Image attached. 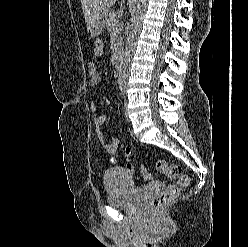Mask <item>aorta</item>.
Wrapping results in <instances>:
<instances>
[{
	"instance_id": "1",
	"label": "aorta",
	"mask_w": 248,
	"mask_h": 247,
	"mask_svg": "<svg viewBox=\"0 0 248 247\" xmlns=\"http://www.w3.org/2000/svg\"><path fill=\"white\" fill-rule=\"evenodd\" d=\"M131 22L129 32L125 40V49L121 58L118 84L125 87L128 82L130 63L136 46V39L143 19V13L146 8L147 0H132Z\"/></svg>"
}]
</instances>
